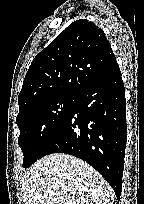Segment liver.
<instances>
[{
	"mask_svg": "<svg viewBox=\"0 0 144 204\" xmlns=\"http://www.w3.org/2000/svg\"><path fill=\"white\" fill-rule=\"evenodd\" d=\"M21 190L24 204H113L115 197L93 167L64 153L38 160L22 176Z\"/></svg>",
	"mask_w": 144,
	"mask_h": 204,
	"instance_id": "6515ba94",
	"label": "liver"
}]
</instances>
